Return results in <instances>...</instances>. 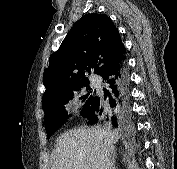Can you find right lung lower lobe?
Here are the masks:
<instances>
[{"label": "right lung lower lobe", "instance_id": "1", "mask_svg": "<svg viewBox=\"0 0 177 169\" xmlns=\"http://www.w3.org/2000/svg\"><path fill=\"white\" fill-rule=\"evenodd\" d=\"M107 85L104 96L95 95L89 110L83 115L88 124L109 122L118 127L130 117L129 75L125 59L105 68L99 74Z\"/></svg>", "mask_w": 177, "mask_h": 169}]
</instances>
